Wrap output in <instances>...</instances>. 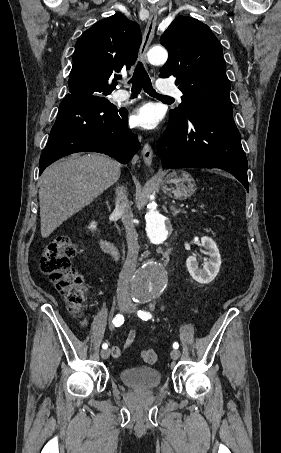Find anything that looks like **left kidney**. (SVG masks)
<instances>
[{"label":"left kidney","instance_id":"obj_1","mask_svg":"<svg viewBox=\"0 0 281 453\" xmlns=\"http://www.w3.org/2000/svg\"><path fill=\"white\" fill-rule=\"evenodd\" d=\"M201 245L205 247L206 255L210 257L209 261L205 263L203 269H199L196 257H188L186 267L194 281L208 285L219 273L221 257L215 241L210 237H202Z\"/></svg>","mask_w":281,"mask_h":453}]
</instances>
